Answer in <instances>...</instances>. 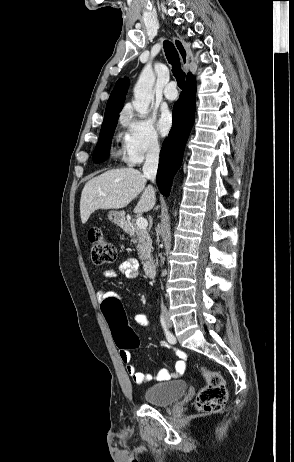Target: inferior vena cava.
<instances>
[{
    "mask_svg": "<svg viewBox=\"0 0 294 462\" xmlns=\"http://www.w3.org/2000/svg\"><path fill=\"white\" fill-rule=\"evenodd\" d=\"M159 153H160V147L158 142H153L150 144L147 154H146V160L143 165V174L144 176L151 180L153 183L156 180V174H157V169H158V161H159ZM161 310L162 313H166L167 309L163 304V301L161 303Z\"/></svg>",
    "mask_w": 294,
    "mask_h": 462,
    "instance_id": "602c4592",
    "label": "inferior vena cava"
}]
</instances>
